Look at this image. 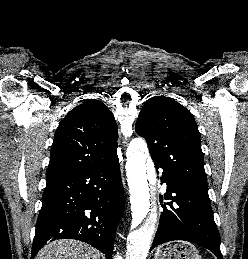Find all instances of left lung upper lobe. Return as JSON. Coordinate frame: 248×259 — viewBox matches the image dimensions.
Returning a JSON list of instances; mask_svg holds the SVG:
<instances>
[{
    "label": "left lung upper lobe",
    "mask_w": 248,
    "mask_h": 259,
    "mask_svg": "<svg viewBox=\"0 0 248 259\" xmlns=\"http://www.w3.org/2000/svg\"><path fill=\"white\" fill-rule=\"evenodd\" d=\"M135 130L146 139L155 166L185 187L208 193L200 133L184 106L165 96L152 97L143 105Z\"/></svg>",
    "instance_id": "left-lung-upper-lobe-1"
}]
</instances>
